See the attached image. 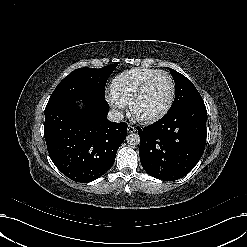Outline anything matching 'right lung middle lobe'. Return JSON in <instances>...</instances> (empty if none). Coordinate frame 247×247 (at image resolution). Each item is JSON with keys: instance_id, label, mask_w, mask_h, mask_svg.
<instances>
[{"instance_id": "right-lung-middle-lobe-1", "label": "right lung middle lobe", "mask_w": 247, "mask_h": 247, "mask_svg": "<svg viewBox=\"0 0 247 247\" xmlns=\"http://www.w3.org/2000/svg\"><path fill=\"white\" fill-rule=\"evenodd\" d=\"M117 65L99 69L78 68L72 71L57 85L47 105L63 100H104L107 79Z\"/></svg>"}]
</instances>
